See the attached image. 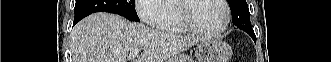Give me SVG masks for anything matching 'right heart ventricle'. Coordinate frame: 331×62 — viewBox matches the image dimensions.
Listing matches in <instances>:
<instances>
[{
  "label": "right heart ventricle",
  "instance_id": "e07e8e85",
  "mask_svg": "<svg viewBox=\"0 0 331 62\" xmlns=\"http://www.w3.org/2000/svg\"><path fill=\"white\" fill-rule=\"evenodd\" d=\"M163 11L167 14L165 23L159 28L164 32L182 33L187 29L183 26L177 4L175 1H169L163 6Z\"/></svg>",
  "mask_w": 331,
  "mask_h": 62
}]
</instances>
